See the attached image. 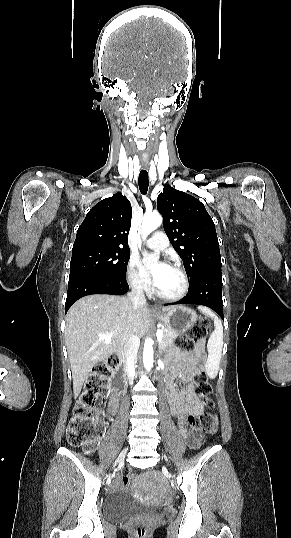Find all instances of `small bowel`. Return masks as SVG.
<instances>
[{
  "mask_svg": "<svg viewBox=\"0 0 291 538\" xmlns=\"http://www.w3.org/2000/svg\"><path fill=\"white\" fill-rule=\"evenodd\" d=\"M195 360L188 355H179L171 365L167 374L166 385L168 398L171 405V412L178 419L180 433L190 449H198L202 443V436L190 431L186 426L188 415H199L203 411L199 403L193 382L195 371ZM180 376L186 383V389L179 392L174 384V379ZM118 409V402L115 395L109 398V412L115 414Z\"/></svg>",
  "mask_w": 291,
  "mask_h": 538,
  "instance_id": "small-bowel-1",
  "label": "small bowel"
}]
</instances>
